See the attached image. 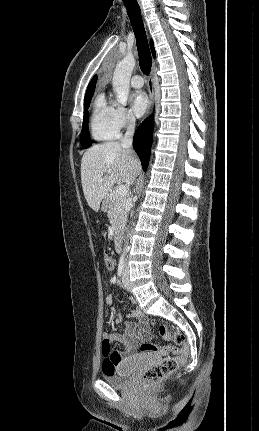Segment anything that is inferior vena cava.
<instances>
[{"label": "inferior vena cava", "mask_w": 259, "mask_h": 431, "mask_svg": "<svg viewBox=\"0 0 259 431\" xmlns=\"http://www.w3.org/2000/svg\"><path fill=\"white\" fill-rule=\"evenodd\" d=\"M135 131V119L134 117H128L127 118V130L126 133L121 140V147L131 150L132 142H133V135Z\"/></svg>", "instance_id": "602c4592"}]
</instances>
